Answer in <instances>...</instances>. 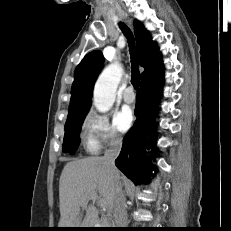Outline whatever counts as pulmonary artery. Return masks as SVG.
Wrapping results in <instances>:
<instances>
[{"mask_svg":"<svg viewBox=\"0 0 231 231\" xmlns=\"http://www.w3.org/2000/svg\"><path fill=\"white\" fill-rule=\"evenodd\" d=\"M122 96H123L124 101L127 103H132L135 100V94H134L133 89L131 87H127L123 91Z\"/></svg>","mask_w":231,"mask_h":231,"instance_id":"obj_1","label":"pulmonary artery"}]
</instances>
